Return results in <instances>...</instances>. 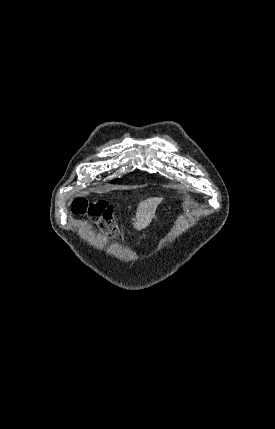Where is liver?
<instances>
[{"label": "liver", "mask_w": 275, "mask_h": 429, "mask_svg": "<svg viewBox=\"0 0 275 429\" xmlns=\"http://www.w3.org/2000/svg\"><path fill=\"white\" fill-rule=\"evenodd\" d=\"M163 200L162 197L148 198L138 205L134 228L137 230L145 229L155 216L156 208Z\"/></svg>", "instance_id": "obj_1"}]
</instances>
